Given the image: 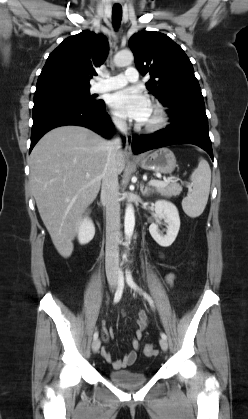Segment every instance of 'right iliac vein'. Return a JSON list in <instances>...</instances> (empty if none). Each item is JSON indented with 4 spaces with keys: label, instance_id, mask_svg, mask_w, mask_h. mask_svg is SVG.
<instances>
[{
    "label": "right iliac vein",
    "instance_id": "63e3f726",
    "mask_svg": "<svg viewBox=\"0 0 248 419\" xmlns=\"http://www.w3.org/2000/svg\"><path fill=\"white\" fill-rule=\"evenodd\" d=\"M111 290H115L117 286V280L115 278H109L108 280ZM100 348V340L97 338L92 343V350L94 353L98 352Z\"/></svg>",
    "mask_w": 248,
    "mask_h": 419
}]
</instances>
